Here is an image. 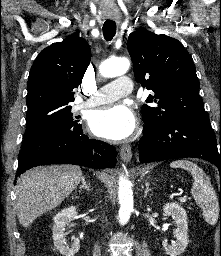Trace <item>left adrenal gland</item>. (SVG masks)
Returning a JSON list of instances; mask_svg holds the SVG:
<instances>
[{"label":"left adrenal gland","instance_id":"obj_1","mask_svg":"<svg viewBox=\"0 0 221 256\" xmlns=\"http://www.w3.org/2000/svg\"><path fill=\"white\" fill-rule=\"evenodd\" d=\"M148 192H152V189L149 187V183H145L144 197H147Z\"/></svg>","mask_w":221,"mask_h":256}]
</instances>
